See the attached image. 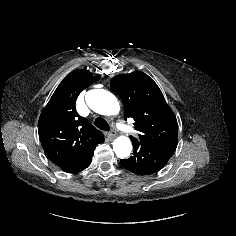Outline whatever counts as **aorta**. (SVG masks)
Returning a JSON list of instances; mask_svg holds the SVG:
<instances>
[{"label": "aorta", "mask_w": 236, "mask_h": 236, "mask_svg": "<svg viewBox=\"0 0 236 236\" xmlns=\"http://www.w3.org/2000/svg\"><path fill=\"white\" fill-rule=\"evenodd\" d=\"M88 106L96 113L102 115H116L119 113L120 105L117 98L107 90L95 89L86 93ZM113 151L118 158H126L132 151V144L128 137L120 136L113 142Z\"/></svg>", "instance_id": "aorta-1"}]
</instances>
